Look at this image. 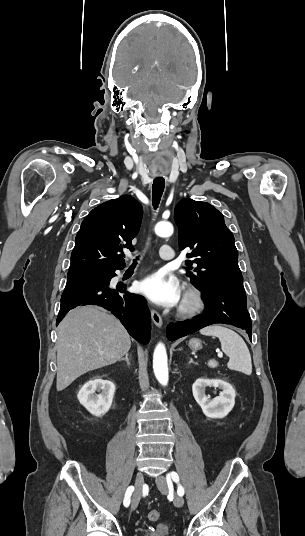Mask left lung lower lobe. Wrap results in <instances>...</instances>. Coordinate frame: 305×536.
Wrapping results in <instances>:
<instances>
[{
    "label": "left lung lower lobe",
    "instance_id": "1",
    "mask_svg": "<svg viewBox=\"0 0 305 536\" xmlns=\"http://www.w3.org/2000/svg\"><path fill=\"white\" fill-rule=\"evenodd\" d=\"M206 308L201 316L184 322L170 323L167 338L170 341L194 333L211 324L224 323L245 329L251 340L252 323L246 308L244 289L203 290Z\"/></svg>",
    "mask_w": 305,
    "mask_h": 536
}]
</instances>
